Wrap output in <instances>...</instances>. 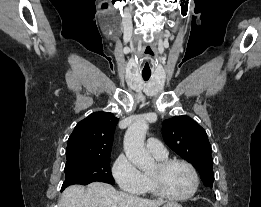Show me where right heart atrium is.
Listing matches in <instances>:
<instances>
[{
    "instance_id": "1",
    "label": "right heart atrium",
    "mask_w": 261,
    "mask_h": 207,
    "mask_svg": "<svg viewBox=\"0 0 261 207\" xmlns=\"http://www.w3.org/2000/svg\"><path fill=\"white\" fill-rule=\"evenodd\" d=\"M112 175L120 189L131 194H142L146 188V177L125 155H119L113 166Z\"/></svg>"
}]
</instances>
